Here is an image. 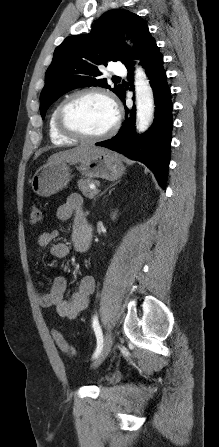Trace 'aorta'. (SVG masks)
Listing matches in <instances>:
<instances>
[{"label":"aorta","mask_w":219,"mask_h":447,"mask_svg":"<svg viewBox=\"0 0 219 447\" xmlns=\"http://www.w3.org/2000/svg\"><path fill=\"white\" fill-rule=\"evenodd\" d=\"M135 92H136V126L139 132L148 129L154 112V99L152 89L146 74L141 67L135 70Z\"/></svg>","instance_id":"obj_1"}]
</instances>
